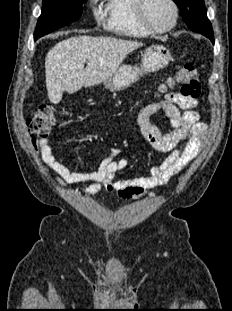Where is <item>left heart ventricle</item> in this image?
<instances>
[{
	"mask_svg": "<svg viewBox=\"0 0 232 311\" xmlns=\"http://www.w3.org/2000/svg\"><path fill=\"white\" fill-rule=\"evenodd\" d=\"M144 13L147 21L155 27H166L173 19V9L168 0H146Z\"/></svg>",
	"mask_w": 232,
	"mask_h": 311,
	"instance_id": "obj_1",
	"label": "left heart ventricle"
}]
</instances>
